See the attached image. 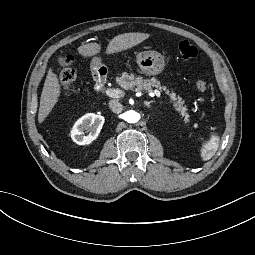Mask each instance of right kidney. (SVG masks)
<instances>
[{
    "label": "right kidney",
    "mask_w": 255,
    "mask_h": 255,
    "mask_svg": "<svg viewBox=\"0 0 255 255\" xmlns=\"http://www.w3.org/2000/svg\"><path fill=\"white\" fill-rule=\"evenodd\" d=\"M104 122L105 118L100 115L83 116L73 126L72 139L79 145L92 143L98 137Z\"/></svg>",
    "instance_id": "right-kidney-1"
}]
</instances>
